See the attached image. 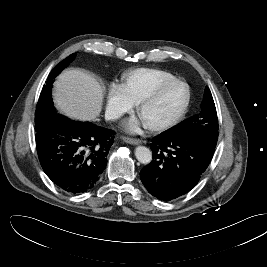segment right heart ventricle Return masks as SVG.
I'll use <instances>...</instances> for the list:
<instances>
[{
  "mask_svg": "<svg viewBox=\"0 0 267 267\" xmlns=\"http://www.w3.org/2000/svg\"><path fill=\"white\" fill-rule=\"evenodd\" d=\"M176 77L164 70L153 68H137L123 75V87L129 99L137 104L139 100L163 83Z\"/></svg>",
  "mask_w": 267,
  "mask_h": 267,
  "instance_id": "e07e8e85",
  "label": "right heart ventricle"
}]
</instances>
